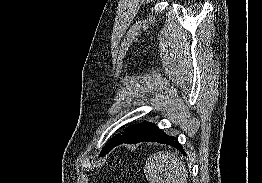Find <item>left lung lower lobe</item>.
Returning a JSON list of instances; mask_svg holds the SVG:
<instances>
[{"instance_id": "1", "label": "left lung lower lobe", "mask_w": 262, "mask_h": 183, "mask_svg": "<svg viewBox=\"0 0 262 183\" xmlns=\"http://www.w3.org/2000/svg\"><path fill=\"white\" fill-rule=\"evenodd\" d=\"M144 141L168 144L170 146L176 147L178 150H180L181 152L185 154L180 143L177 141V138L166 135L162 130L156 127L155 124L148 123V122L145 123L144 126L141 129H139L132 136L121 138L115 141L113 144H111L106 154L119 144H122V143L135 144V143L144 142Z\"/></svg>"}]
</instances>
